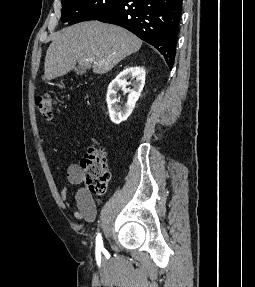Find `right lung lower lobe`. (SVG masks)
I'll list each match as a JSON object with an SVG mask.
<instances>
[{
  "instance_id": "right-lung-lower-lobe-1",
  "label": "right lung lower lobe",
  "mask_w": 255,
  "mask_h": 287,
  "mask_svg": "<svg viewBox=\"0 0 255 287\" xmlns=\"http://www.w3.org/2000/svg\"><path fill=\"white\" fill-rule=\"evenodd\" d=\"M183 0H123L95 20L112 23L153 45L172 69Z\"/></svg>"
}]
</instances>
